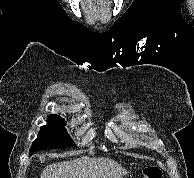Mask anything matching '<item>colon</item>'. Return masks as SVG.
I'll return each mask as SVG.
<instances>
[{
	"label": "colon",
	"mask_w": 194,
	"mask_h": 178,
	"mask_svg": "<svg viewBox=\"0 0 194 178\" xmlns=\"http://www.w3.org/2000/svg\"><path fill=\"white\" fill-rule=\"evenodd\" d=\"M143 178H162V171L156 166H148L143 170Z\"/></svg>",
	"instance_id": "5ec220e1"
}]
</instances>
